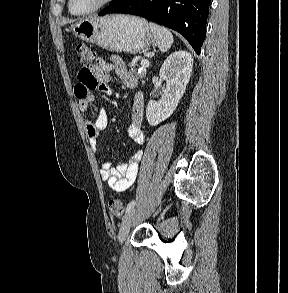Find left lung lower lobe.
Listing matches in <instances>:
<instances>
[{"mask_svg": "<svg viewBox=\"0 0 288 293\" xmlns=\"http://www.w3.org/2000/svg\"><path fill=\"white\" fill-rule=\"evenodd\" d=\"M210 2L211 0H114L99 15L124 13L152 20L179 32L200 54L206 37Z\"/></svg>", "mask_w": 288, "mask_h": 293, "instance_id": "1", "label": "left lung lower lobe"}]
</instances>
